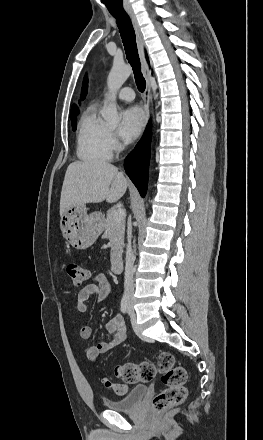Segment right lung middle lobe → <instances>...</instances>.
Listing matches in <instances>:
<instances>
[{"instance_id": "right-lung-middle-lobe-1", "label": "right lung middle lobe", "mask_w": 263, "mask_h": 440, "mask_svg": "<svg viewBox=\"0 0 263 440\" xmlns=\"http://www.w3.org/2000/svg\"><path fill=\"white\" fill-rule=\"evenodd\" d=\"M71 124H72V129L75 131L76 130V118H71Z\"/></svg>"}]
</instances>
